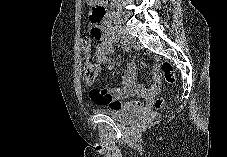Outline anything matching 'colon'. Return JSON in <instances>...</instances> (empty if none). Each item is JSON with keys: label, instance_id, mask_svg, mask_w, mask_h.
I'll use <instances>...</instances> for the list:
<instances>
[{"label": "colon", "instance_id": "1", "mask_svg": "<svg viewBox=\"0 0 227 157\" xmlns=\"http://www.w3.org/2000/svg\"><path fill=\"white\" fill-rule=\"evenodd\" d=\"M90 16H97L95 9L92 10ZM92 36L98 39L100 32H93ZM83 46L92 48V40L89 36L84 35L82 38ZM84 80L87 85H92L99 75L100 68L99 65L94 63L92 59H86L84 62ZM162 73L167 83L173 84L175 81L174 69L170 62L165 61L162 64ZM166 105V100L164 98H159L154 102V106L157 109H161Z\"/></svg>", "mask_w": 227, "mask_h": 157}]
</instances>
